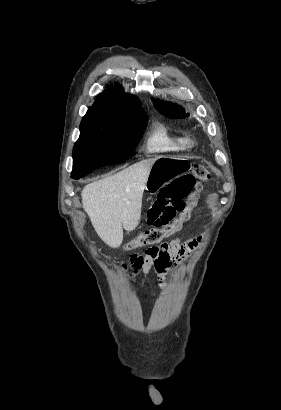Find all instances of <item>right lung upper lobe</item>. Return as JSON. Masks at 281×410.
Listing matches in <instances>:
<instances>
[{
	"label": "right lung upper lobe",
	"mask_w": 281,
	"mask_h": 410,
	"mask_svg": "<svg viewBox=\"0 0 281 410\" xmlns=\"http://www.w3.org/2000/svg\"><path fill=\"white\" fill-rule=\"evenodd\" d=\"M86 114L117 121L146 116L144 109L141 108L140 100L132 94H126L120 84H115L114 87L107 86L106 90L97 96Z\"/></svg>",
	"instance_id": "right-lung-upper-lobe-1"
}]
</instances>
